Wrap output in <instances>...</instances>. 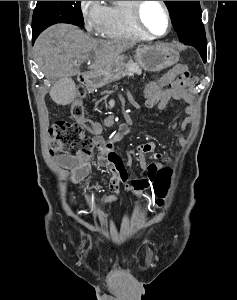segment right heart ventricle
<instances>
[{"label":"right heart ventricle","mask_w":237,"mask_h":300,"mask_svg":"<svg viewBox=\"0 0 237 300\" xmlns=\"http://www.w3.org/2000/svg\"><path fill=\"white\" fill-rule=\"evenodd\" d=\"M133 6L134 1H112L107 7L106 22L102 32L107 36L146 37L135 21Z\"/></svg>","instance_id":"right-heart-ventricle-1"}]
</instances>
